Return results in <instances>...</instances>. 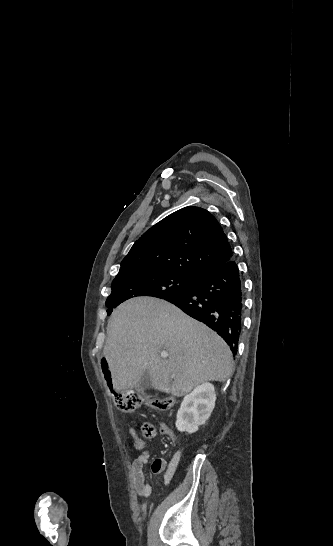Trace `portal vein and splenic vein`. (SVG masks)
Returning a JSON list of instances; mask_svg holds the SVG:
<instances>
[{"instance_id": "portal-vein-and-splenic-vein-1", "label": "portal vein and splenic vein", "mask_w": 333, "mask_h": 546, "mask_svg": "<svg viewBox=\"0 0 333 546\" xmlns=\"http://www.w3.org/2000/svg\"><path fill=\"white\" fill-rule=\"evenodd\" d=\"M161 356H162L163 358H167V357H168V354H167L166 352H162V353H161Z\"/></svg>"}]
</instances>
